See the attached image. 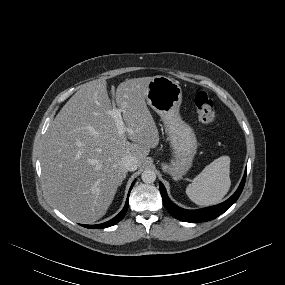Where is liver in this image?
Segmentation results:
<instances>
[{
	"label": "liver",
	"instance_id": "obj_1",
	"mask_svg": "<svg viewBox=\"0 0 285 285\" xmlns=\"http://www.w3.org/2000/svg\"><path fill=\"white\" fill-rule=\"evenodd\" d=\"M153 77L120 83L116 103L128 129L118 134L107 83L83 84L48 128L41 154L48 199L72 221L92 223L104 216L127 175L121 159L133 155L142 165L159 143V132L146 105ZM127 138L131 141L129 142Z\"/></svg>",
	"mask_w": 285,
	"mask_h": 285
}]
</instances>
